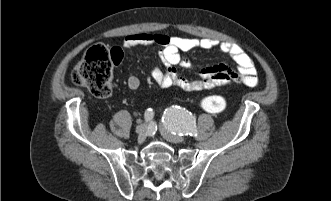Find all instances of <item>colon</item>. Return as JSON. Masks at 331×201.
<instances>
[{"mask_svg": "<svg viewBox=\"0 0 331 201\" xmlns=\"http://www.w3.org/2000/svg\"><path fill=\"white\" fill-rule=\"evenodd\" d=\"M119 50H109L102 45H93L74 67L71 78L74 84L86 87L97 97H107L113 86V64L120 58ZM201 108L212 114L224 112L228 107L226 98L220 95L204 97Z\"/></svg>", "mask_w": 331, "mask_h": 201, "instance_id": "obj_1", "label": "colon"}]
</instances>
